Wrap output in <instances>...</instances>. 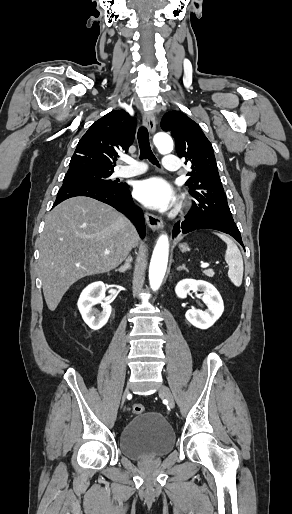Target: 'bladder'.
I'll list each match as a JSON object with an SVG mask.
<instances>
[{"instance_id": "bladder-1", "label": "bladder", "mask_w": 292, "mask_h": 514, "mask_svg": "<svg viewBox=\"0 0 292 514\" xmlns=\"http://www.w3.org/2000/svg\"><path fill=\"white\" fill-rule=\"evenodd\" d=\"M175 433L164 416L155 411L137 414L121 430V453L134 460L151 459L170 452Z\"/></svg>"}]
</instances>
